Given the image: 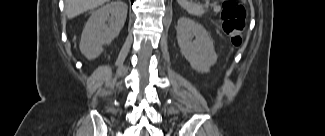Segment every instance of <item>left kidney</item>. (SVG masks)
Returning <instances> with one entry per match:
<instances>
[{
	"mask_svg": "<svg viewBox=\"0 0 325 136\" xmlns=\"http://www.w3.org/2000/svg\"><path fill=\"white\" fill-rule=\"evenodd\" d=\"M177 41L182 54L197 72L207 73L217 62V54L210 34L193 20L187 17L178 20Z\"/></svg>",
	"mask_w": 325,
	"mask_h": 136,
	"instance_id": "obj_1",
	"label": "left kidney"
}]
</instances>
